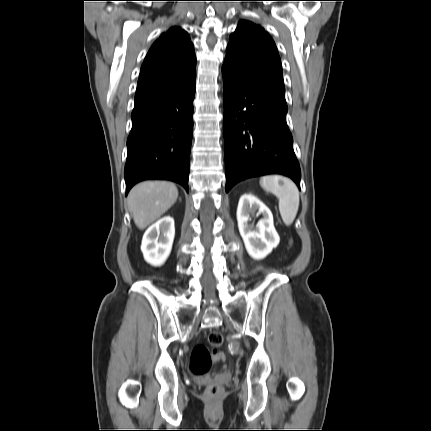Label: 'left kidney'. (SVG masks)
Masks as SVG:
<instances>
[{
	"instance_id": "5707ae66",
	"label": "left kidney",
	"mask_w": 431,
	"mask_h": 431,
	"mask_svg": "<svg viewBox=\"0 0 431 431\" xmlns=\"http://www.w3.org/2000/svg\"><path fill=\"white\" fill-rule=\"evenodd\" d=\"M262 214L257 223L250 224V214ZM237 221L240 235L248 254L257 260L265 258L279 244L280 238L273 224V215L269 208L251 194L240 197L237 208Z\"/></svg>"
}]
</instances>
